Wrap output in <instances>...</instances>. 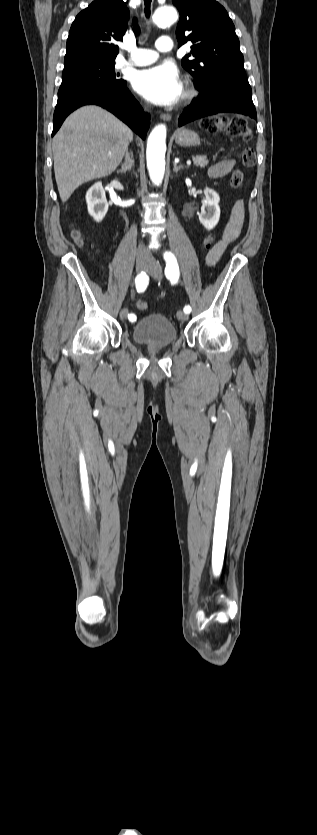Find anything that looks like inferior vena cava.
Instances as JSON below:
<instances>
[{"instance_id": "obj_1", "label": "inferior vena cava", "mask_w": 317, "mask_h": 835, "mask_svg": "<svg viewBox=\"0 0 317 835\" xmlns=\"http://www.w3.org/2000/svg\"><path fill=\"white\" fill-rule=\"evenodd\" d=\"M137 255H138L139 257H148V256H149V253H148V251L145 249V247H144L143 245H139V247H138V251H137Z\"/></svg>"}]
</instances>
